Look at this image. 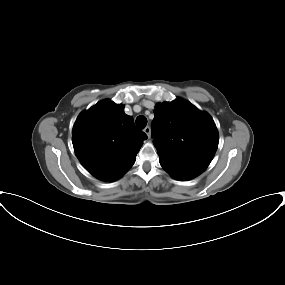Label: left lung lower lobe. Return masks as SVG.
<instances>
[{
  "label": "left lung lower lobe",
  "instance_id": "left-lung-lower-lobe-1",
  "mask_svg": "<svg viewBox=\"0 0 285 285\" xmlns=\"http://www.w3.org/2000/svg\"><path fill=\"white\" fill-rule=\"evenodd\" d=\"M159 162L163 169L168 172L174 179L185 181L192 179L202 172L190 167L172 164L164 159L159 158Z\"/></svg>",
  "mask_w": 285,
  "mask_h": 285
}]
</instances>
